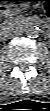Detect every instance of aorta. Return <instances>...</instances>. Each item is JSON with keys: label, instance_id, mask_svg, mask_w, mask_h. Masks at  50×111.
Returning a JSON list of instances; mask_svg holds the SVG:
<instances>
[{"label": "aorta", "instance_id": "obj_1", "mask_svg": "<svg viewBox=\"0 0 50 111\" xmlns=\"http://www.w3.org/2000/svg\"><path fill=\"white\" fill-rule=\"evenodd\" d=\"M26 34L30 38H37L39 36V28L32 26L26 30Z\"/></svg>", "mask_w": 50, "mask_h": 111}]
</instances>
